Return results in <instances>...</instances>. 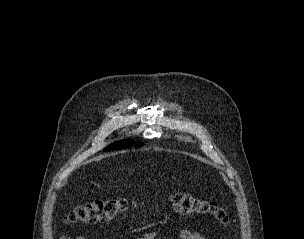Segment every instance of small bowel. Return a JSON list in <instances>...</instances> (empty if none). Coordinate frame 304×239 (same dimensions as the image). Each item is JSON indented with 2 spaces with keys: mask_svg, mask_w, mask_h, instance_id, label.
<instances>
[{
  "mask_svg": "<svg viewBox=\"0 0 304 239\" xmlns=\"http://www.w3.org/2000/svg\"><path fill=\"white\" fill-rule=\"evenodd\" d=\"M155 237L154 232H148L138 239H152ZM59 239H87L85 235H79L76 237H61ZM179 239H205L200 233L190 230V229H182L179 232Z\"/></svg>",
  "mask_w": 304,
  "mask_h": 239,
  "instance_id": "c3829d8e",
  "label": "small bowel"
}]
</instances>
